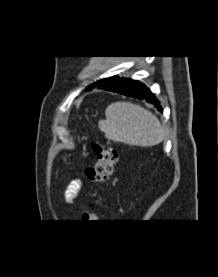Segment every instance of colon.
I'll return each instance as SVG.
<instances>
[{"mask_svg":"<svg viewBox=\"0 0 218 277\" xmlns=\"http://www.w3.org/2000/svg\"><path fill=\"white\" fill-rule=\"evenodd\" d=\"M95 154V164L86 169L87 179L95 185L106 183L114 169V165L118 160V154L115 150L106 147L104 144L95 141L92 145ZM96 218L95 212L87 207L83 212L82 219L89 222Z\"/></svg>","mask_w":218,"mask_h":277,"instance_id":"5ec220e1","label":"colon"}]
</instances>
